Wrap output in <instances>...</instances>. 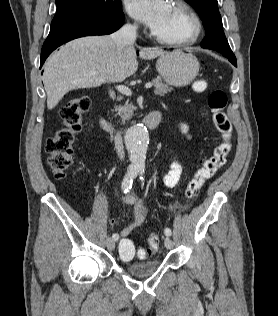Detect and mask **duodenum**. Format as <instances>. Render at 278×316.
<instances>
[{
  "mask_svg": "<svg viewBox=\"0 0 278 316\" xmlns=\"http://www.w3.org/2000/svg\"><path fill=\"white\" fill-rule=\"evenodd\" d=\"M162 119L161 112L158 110L152 111L144 120V124L149 129H156ZM99 124L100 126L107 132H115L116 128L105 118V116L100 113L99 114Z\"/></svg>",
  "mask_w": 278,
  "mask_h": 316,
  "instance_id": "duodenum-1",
  "label": "duodenum"
}]
</instances>
